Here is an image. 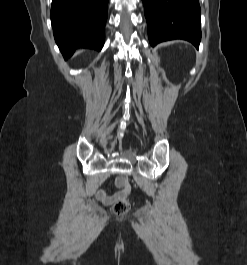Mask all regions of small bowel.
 I'll return each instance as SVG.
<instances>
[{
    "label": "small bowel",
    "instance_id": "small-bowel-1",
    "mask_svg": "<svg viewBox=\"0 0 247 265\" xmlns=\"http://www.w3.org/2000/svg\"><path fill=\"white\" fill-rule=\"evenodd\" d=\"M117 186L121 187V183L119 180L117 181ZM126 195L127 194L123 190H120L111 195L107 194L106 191L102 189L96 192V198L99 201H101L104 205H110L115 201H117L118 199L125 197Z\"/></svg>",
    "mask_w": 247,
    "mask_h": 265
}]
</instances>
